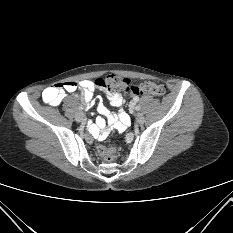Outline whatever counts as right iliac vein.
Instances as JSON below:
<instances>
[{"instance_id":"obj_1","label":"right iliac vein","mask_w":233,"mask_h":233,"mask_svg":"<svg viewBox=\"0 0 233 233\" xmlns=\"http://www.w3.org/2000/svg\"><path fill=\"white\" fill-rule=\"evenodd\" d=\"M75 120L77 122H83L85 120V116L82 112H78L75 116Z\"/></svg>"}]
</instances>
